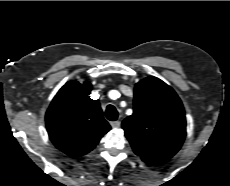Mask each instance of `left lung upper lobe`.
<instances>
[{"label": "left lung upper lobe", "instance_id": "left-lung-upper-lobe-1", "mask_svg": "<svg viewBox=\"0 0 230 186\" xmlns=\"http://www.w3.org/2000/svg\"><path fill=\"white\" fill-rule=\"evenodd\" d=\"M122 128L144 162L167 160L177 153L186 136L182 102L165 82L147 77L135 86L134 112L123 121Z\"/></svg>", "mask_w": 230, "mask_h": 186}]
</instances>
